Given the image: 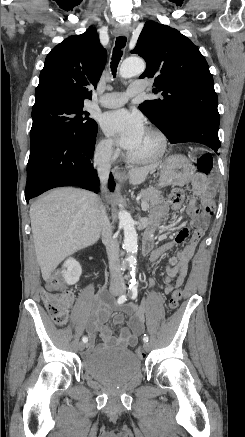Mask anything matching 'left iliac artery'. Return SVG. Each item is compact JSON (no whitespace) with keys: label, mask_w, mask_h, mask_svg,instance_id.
I'll use <instances>...</instances> for the list:
<instances>
[{"label":"left iliac artery","mask_w":245,"mask_h":437,"mask_svg":"<svg viewBox=\"0 0 245 437\" xmlns=\"http://www.w3.org/2000/svg\"><path fill=\"white\" fill-rule=\"evenodd\" d=\"M129 289H130L131 298L135 299L137 297V295H138V286H137L135 281H133L130 284ZM148 339H149L148 336H146V334H145L144 337H143V341L144 342H148Z\"/></svg>","instance_id":"1"}]
</instances>
